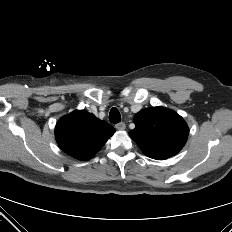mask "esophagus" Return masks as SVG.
I'll list each match as a JSON object with an SVG mask.
<instances>
[{"label":"esophagus","instance_id":"1","mask_svg":"<svg viewBox=\"0 0 232 232\" xmlns=\"http://www.w3.org/2000/svg\"><path fill=\"white\" fill-rule=\"evenodd\" d=\"M115 128H116L117 130H124V129L126 128V125H125L124 122H120V123H117V124L115 125Z\"/></svg>","mask_w":232,"mask_h":232}]
</instances>
